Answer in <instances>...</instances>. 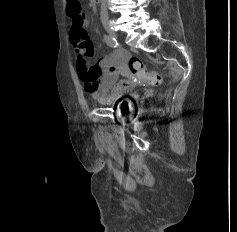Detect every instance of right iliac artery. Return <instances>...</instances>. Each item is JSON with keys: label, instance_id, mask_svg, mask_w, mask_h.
<instances>
[{"label": "right iliac artery", "instance_id": "right-iliac-artery-1", "mask_svg": "<svg viewBox=\"0 0 237 232\" xmlns=\"http://www.w3.org/2000/svg\"><path fill=\"white\" fill-rule=\"evenodd\" d=\"M104 40L107 43V45L110 46V47L116 48L118 46L117 40L114 37L110 36V35L105 34L104 35Z\"/></svg>", "mask_w": 237, "mask_h": 232}]
</instances>
